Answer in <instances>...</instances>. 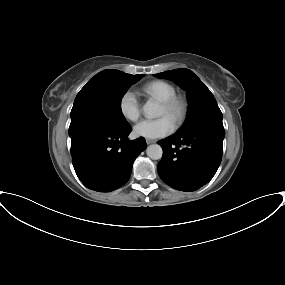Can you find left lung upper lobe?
Returning <instances> with one entry per match:
<instances>
[{
    "instance_id": "obj_1",
    "label": "left lung upper lobe",
    "mask_w": 285,
    "mask_h": 285,
    "mask_svg": "<svg viewBox=\"0 0 285 285\" xmlns=\"http://www.w3.org/2000/svg\"><path fill=\"white\" fill-rule=\"evenodd\" d=\"M175 81L187 90L189 111L185 124L177 132L188 133L203 125L223 127V115L207 86L189 69L170 70L154 75Z\"/></svg>"
}]
</instances>
